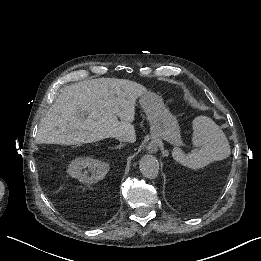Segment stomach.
Returning <instances> with one entry per match:
<instances>
[{
    "label": "stomach",
    "mask_w": 261,
    "mask_h": 261,
    "mask_svg": "<svg viewBox=\"0 0 261 261\" xmlns=\"http://www.w3.org/2000/svg\"><path fill=\"white\" fill-rule=\"evenodd\" d=\"M139 103L149 120L152 138L177 144L180 140L179 124L165 107L161 97L147 91L139 96Z\"/></svg>",
    "instance_id": "1"
}]
</instances>
